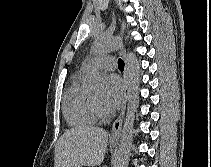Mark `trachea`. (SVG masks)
I'll list each match as a JSON object with an SVG mask.
<instances>
[{"instance_id": "1", "label": "trachea", "mask_w": 211, "mask_h": 167, "mask_svg": "<svg viewBox=\"0 0 211 167\" xmlns=\"http://www.w3.org/2000/svg\"><path fill=\"white\" fill-rule=\"evenodd\" d=\"M118 67L120 70H123L124 69V61L122 59H119L118 61Z\"/></svg>"}]
</instances>
